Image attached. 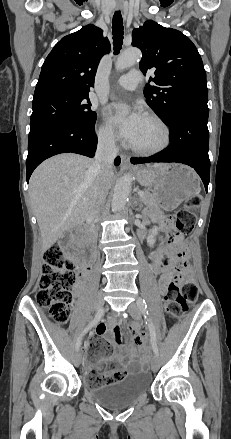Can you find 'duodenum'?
<instances>
[{"mask_svg": "<svg viewBox=\"0 0 231 439\" xmlns=\"http://www.w3.org/2000/svg\"><path fill=\"white\" fill-rule=\"evenodd\" d=\"M86 231H87V227H85V226H82V227L76 228V229L72 232V236H79V235L85 233ZM89 262H90V261H88L87 263H85L82 267H86V268L89 270V269H90Z\"/></svg>", "mask_w": 231, "mask_h": 439, "instance_id": "duodenum-1", "label": "duodenum"}]
</instances>
